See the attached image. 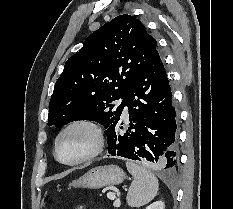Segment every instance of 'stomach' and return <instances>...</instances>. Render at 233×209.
<instances>
[{
	"mask_svg": "<svg viewBox=\"0 0 233 209\" xmlns=\"http://www.w3.org/2000/svg\"><path fill=\"white\" fill-rule=\"evenodd\" d=\"M125 179V173L118 166L106 165L90 169L79 179L72 181L71 186L99 189L109 185H118Z\"/></svg>",
	"mask_w": 233,
	"mask_h": 209,
	"instance_id": "obj_1",
	"label": "stomach"
}]
</instances>
